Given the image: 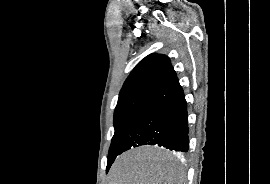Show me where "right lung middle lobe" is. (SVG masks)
Returning a JSON list of instances; mask_svg holds the SVG:
<instances>
[{
	"label": "right lung middle lobe",
	"instance_id": "obj_1",
	"mask_svg": "<svg viewBox=\"0 0 270 184\" xmlns=\"http://www.w3.org/2000/svg\"><path fill=\"white\" fill-rule=\"evenodd\" d=\"M148 98L147 96H134L124 100H118L114 113L115 133L109 149L107 171L116 156L119 155L123 140Z\"/></svg>",
	"mask_w": 270,
	"mask_h": 184
}]
</instances>
